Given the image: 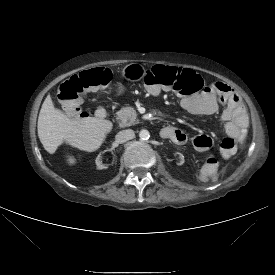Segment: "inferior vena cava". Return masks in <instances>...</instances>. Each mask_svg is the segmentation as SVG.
Returning <instances> with one entry per match:
<instances>
[{
	"label": "inferior vena cava",
	"instance_id": "602c4592",
	"mask_svg": "<svg viewBox=\"0 0 275 275\" xmlns=\"http://www.w3.org/2000/svg\"><path fill=\"white\" fill-rule=\"evenodd\" d=\"M135 136L134 131L131 129H126L118 132L115 136L116 142L124 143L128 140L133 139Z\"/></svg>",
	"mask_w": 275,
	"mask_h": 275
}]
</instances>
